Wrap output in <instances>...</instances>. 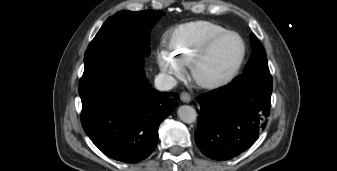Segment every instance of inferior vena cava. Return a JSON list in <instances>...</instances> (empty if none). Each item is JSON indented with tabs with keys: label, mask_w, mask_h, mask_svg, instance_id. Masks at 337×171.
Wrapping results in <instances>:
<instances>
[{
	"label": "inferior vena cava",
	"mask_w": 337,
	"mask_h": 171,
	"mask_svg": "<svg viewBox=\"0 0 337 171\" xmlns=\"http://www.w3.org/2000/svg\"><path fill=\"white\" fill-rule=\"evenodd\" d=\"M176 84V79L168 74L160 73L155 77V87L159 91L171 90Z\"/></svg>",
	"instance_id": "inferior-vena-cava-1"
}]
</instances>
